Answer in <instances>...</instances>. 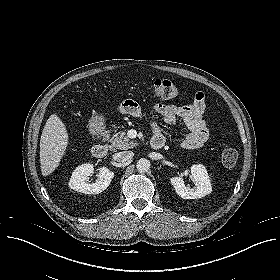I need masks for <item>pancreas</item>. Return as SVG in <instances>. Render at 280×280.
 Returning a JSON list of instances; mask_svg holds the SVG:
<instances>
[{
	"label": "pancreas",
	"mask_w": 280,
	"mask_h": 280,
	"mask_svg": "<svg viewBox=\"0 0 280 280\" xmlns=\"http://www.w3.org/2000/svg\"><path fill=\"white\" fill-rule=\"evenodd\" d=\"M106 137L110 141L112 148L127 150L137 146V142L130 140L125 135V132H117L112 137L110 134H107Z\"/></svg>",
	"instance_id": "pancreas-1"
}]
</instances>
